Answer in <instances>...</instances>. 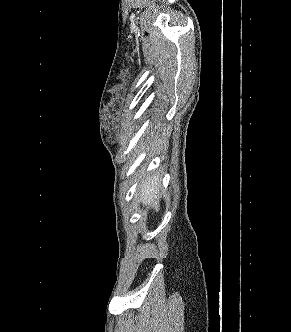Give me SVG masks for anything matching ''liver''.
Instances as JSON below:
<instances>
[{
  "instance_id": "1",
  "label": "liver",
  "mask_w": 291,
  "mask_h": 332,
  "mask_svg": "<svg viewBox=\"0 0 291 332\" xmlns=\"http://www.w3.org/2000/svg\"><path fill=\"white\" fill-rule=\"evenodd\" d=\"M140 201L145 206L154 207L159 210L157 199L160 195V177L158 174L148 175L138 188Z\"/></svg>"
}]
</instances>
